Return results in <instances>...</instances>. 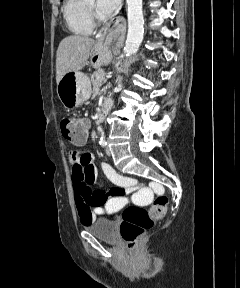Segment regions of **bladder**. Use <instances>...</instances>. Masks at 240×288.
Here are the masks:
<instances>
[{
    "label": "bladder",
    "mask_w": 240,
    "mask_h": 288,
    "mask_svg": "<svg viewBox=\"0 0 240 288\" xmlns=\"http://www.w3.org/2000/svg\"><path fill=\"white\" fill-rule=\"evenodd\" d=\"M85 229L102 241L112 243L116 240V225L111 220L98 219L85 225Z\"/></svg>",
    "instance_id": "31cf9c89"
}]
</instances>
